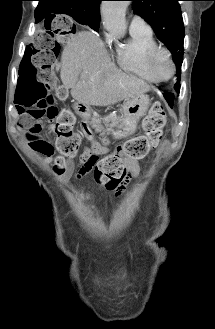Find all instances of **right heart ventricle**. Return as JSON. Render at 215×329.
Wrapping results in <instances>:
<instances>
[{"label":"right heart ventricle","instance_id":"e07e8e85","mask_svg":"<svg viewBox=\"0 0 215 329\" xmlns=\"http://www.w3.org/2000/svg\"><path fill=\"white\" fill-rule=\"evenodd\" d=\"M130 35V40L118 46L115 51L119 67L147 82H158L147 65L149 54L159 46L152 32H130Z\"/></svg>","mask_w":215,"mask_h":329}]
</instances>
